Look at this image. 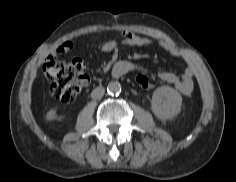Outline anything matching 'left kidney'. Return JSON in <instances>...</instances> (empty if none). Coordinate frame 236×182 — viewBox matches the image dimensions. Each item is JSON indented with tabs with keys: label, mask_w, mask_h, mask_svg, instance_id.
I'll return each instance as SVG.
<instances>
[{
	"label": "left kidney",
	"mask_w": 236,
	"mask_h": 182,
	"mask_svg": "<svg viewBox=\"0 0 236 182\" xmlns=\"http://www.w3.org/2000/svg\"><path fill=\"white\" fill-rule=\"evenodd\" d=\"M181 106L182 96L172 87L161 86L154 91L151 109L157 118L172 119L180 113Z\"/></svg>",
	"instance_id": "obj_1"
}]
</instances>
